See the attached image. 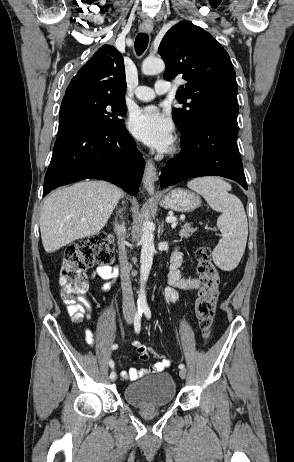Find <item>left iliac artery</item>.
I'll use <instances>...</instances> for the list:
<instances>
[{
    "instance_id": "44dca946",
    "label": "left iliac artery",
    "mask_w": 294,
    "mask_h": 462,
    "mask_svg": "<svg viewBox=\"0 0 294 462\" xmlns=\"http://www.w3.org/2000/svg\"><path fill=\"white\" fill-rule=\"evenodd\" d=\"M143 312L145 314V316L150 319L151 318V311H150V308L148 306H145L143 308ZM179 369H185V365L184 364H180L179 366Z\"/></svg>"
}]
</instances>
